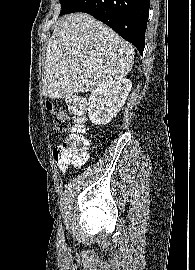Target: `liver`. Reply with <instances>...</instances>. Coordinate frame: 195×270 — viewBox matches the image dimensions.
Masks as SVG:
<instances>
[{
  "label": "liver",
  "instance_id": "obj_1",
  "mask_svg": "<svg viewBox=\"0 0 195 270\" xmlns=\"http://www.w3.org/2000/svg\"><path fill=\"white\" fill-rule=\"evenodd\" d=\"M134 63V48L86 13L59 20L48 42L43 94L52 99L89 92L125 77Z\"/></svg>",
  "mask_w": 195,
  "mask_h": 270
}]
</instances>
